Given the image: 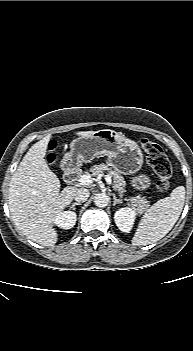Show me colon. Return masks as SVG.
<instances>
[{
  "instance_id": "1",
  "label": "colon",
  "mask_w": 193,
  "mask_h": 351,
  "mask_svg": "<svg viewBox=\"0 0 193 351\" xmlns=\"http://www.w3.org/2000/svg\"><path fill=\"white\" fill-rule=\"evenodd\" d=\"M141 146L146 153L148 164L152 167L158 176L157 187L160 191L165 192L170 188L172 177V166L163 149L156 143L143 139ZM49 161L55 163L56 155L54 153L55 145L49 147Z\"/></svg>"
}]
</instances>
